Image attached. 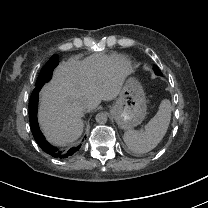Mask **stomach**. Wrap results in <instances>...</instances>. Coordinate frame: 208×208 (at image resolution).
<instances>
[{
  "instance_id": "0dacf381",
  "label": "stomach",
  "mask_w": 208,
  "mask_h": 208,
  "mask_svg": "<svg viewBox=\"0 0 208 208\" xmlns=\"http://www.w3.org/2000/svg\"><path fill=\"white\" fill-rule=\"evenodd\" d=\"M146 110L143 88L131 77L126 81L115 105L111 108V115L122 129L130 130L144 120Z\"/></svg>"
}]
</instances>
